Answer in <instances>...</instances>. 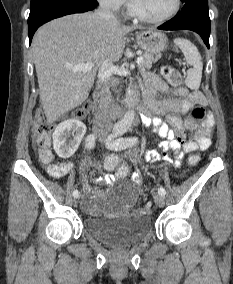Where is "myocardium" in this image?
Listing matches in <instances>:
<instances>
[{
	"label": "myocardium",
	"mask_w": 233,
	"mask_h": 284,
	"mask_svg": "<svg viewBox=\"0 0 233 284\" xmlns=\"http://www.w3.org/2000/svg\"><path fill=\"white\" fill-rule=\"evenodd\" d=\"M181 6V0H173V5L171 7V9L164 15L160 16V17H148L143 15L142 13H140L134 6L133 0H129L128 1V11L130 13V15H132L134 18L142 21V22H146V23H152V24H159V23H163L168 21L169 19H171L172 17H174Z\"/></svg>",
	"instance_id": "obj_1"
}]
</instances>
